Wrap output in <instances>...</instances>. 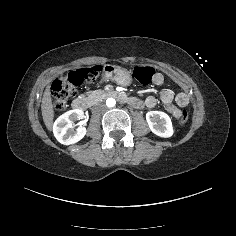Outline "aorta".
I'll use <instances>...</instances> for the list:
<instances>
[{"instance_id": "762f6f07", "label": "aorta", "mask_w": 236, "mask_h": 236, "mask_svg": "<svg viewBox=\"0 0 236 236\" xmlns=\"http://www.w3.org/2000/svg\"><path fill=\"white\" fill-rule=\"evenodd\" d=\"M115 99H113V98H108L107 100H106V106L107 107H109V108H112V107H114L115 106Z\"/></svg>"}]
</instances>
